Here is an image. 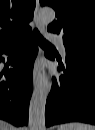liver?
<instances>
[{"mask_svg":"<svg viewBox=\"0 0 95 130\" xmlns=\"http://www.w3.org/2000/svg\"><path fill=\"white\" fill-rule=\"evenodd\" d=\"M0 130H16V129L11 124H9V123H7L5 121H1Z\"/></svg>","mask_w":95,"mask_h":130,"instance_id":"liver-1","label":"liver"}]
</instances>
